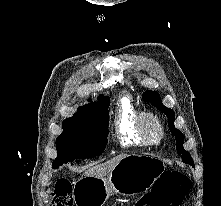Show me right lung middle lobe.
Segmentation results:
<instances>
[{"mask_svg": "<svg viewBox=\"0 0 221 206\" xmlns=\"http://www.w3.org/2000/svg\"><path fill=\"white\" fill-rule=\"evenodd\" d=\"M108 119L109 112L105 110L64 120L63 132L56 139L58 156L52 167L100 155L108 142Z\"/></svg>", "mask_w": 221, "mask_h": 206, "instance_id": "right-lung-middle-lobe-1", "label": "right lung middle lobe"}]
</instances>
